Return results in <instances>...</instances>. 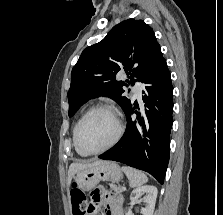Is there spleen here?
Segmentation results:
<instances>
[{"label": "spleen", "instance_id": "obj_1", "mask_svg": "<svg viewBox=\"0 0 223 215\" xmlns=\"http://www.w3.org/2000/svg\"><path fill=\"white\" fill-rule=\"evenodd\" d=\"M121 169L122 171H124V173H126L131 187H138V185H143V183H146V181H148L147 175H145L143 171H140V169H134V167H126V165H123Z\"/></svg>", "mask_w": 223, "mask_h": 215}]
</instances>
